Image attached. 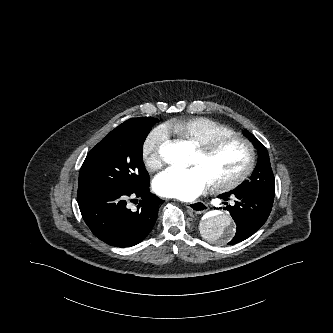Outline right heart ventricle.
<instances>
[{
  "label": "right heart ventricle",
  "mask_w": 333,
  "mask_h": 333,
  "mask_svg": "<svg viewBox=\"0 0 333 333\" xmlns=\"http://www.w3.org/2000/svg\"><path fill=\"white\" fill-rule=\"evenodd\" d=\"M165 129L178 140L187 141L194 145L233 134V131L227 126L204 117L173 119L167 122Z\"/></svg>",
  "instance_id": "e07e8e85"
}]
</instances>
